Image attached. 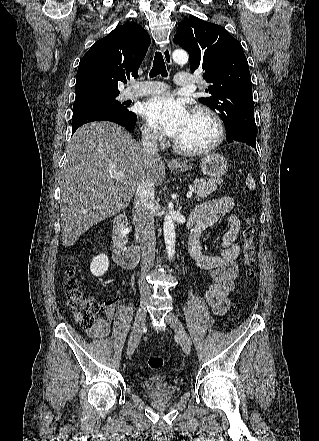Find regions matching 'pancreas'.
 Listing matches in <instances>:
<instances>
[{
	"label": "pancreas",
	"mask_w": 319,
	"mask_h": 441,
	"mask_svg": "<svg viewBox=\"0 0 319 441\" xmlns=\"http://www.w3.org/2000/svg\"><path fill=\"white\" fill-rule=\"evenodd\" d=\"M221 183V179H195L193 182V189L195 190L197 201L212 194L216 190L217 185H220Z\"/></svg>",
	"instance_id": "cf45deb5"
}]
</instances>
